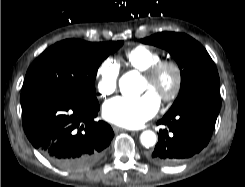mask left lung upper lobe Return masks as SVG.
<instances>
[{
  "label": "left lung upper lobe",
  "instance_id": "1",
  "mask_svg": "<svg viewBox=\"0 0 245 187\" xmlns=\"http://www.w3.org/2000/svg\"><path fill=\"white\" fill-rule=\"evenodd\" d=\"M141 42L168 50L180 68V92L168 113L198 98L219 95L220 81L216 66L206 49L192 37L161 32L141 39Z\"/></svg>",
  "mask_w": 245,
  "mask_h": 187
}]
</instances>
